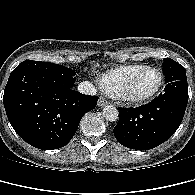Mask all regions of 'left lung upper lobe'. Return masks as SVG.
Returning <instances> with one entry per match:
<instances>
[{
    "mask_svg": "<svg viewBox=\"0 0 195 195\" xmlns=\"http://www.w3.org/2000/svg\"><path fill=\"white\" fill-rule=\"evenodd\" d=\"M162 66L166 83L177 80H187L185 68L176 61L165 58Z\"/></svg>",
    "mask_w": 195,
    "mask_h": 195,
    "instance_id": "5c2ea615",
    "label": "left lung upper lobe"
}]
</instances>
